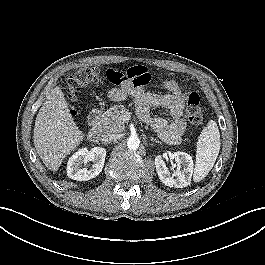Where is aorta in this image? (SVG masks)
Segmentation results:
<instances>
[{"label":"aorta","mask_w":265,"mask_h":265,"mask_svg":"<svg viewBox=\"0 0 265 265\" xmlns=\"http://www.w3.org/2000/svg\"><path fill=\"white\" fill-rule=\"evenodd\" d=\"M140 146V139L137 136H130L127 139V147L129 150H137Z\"/></svg>","instance_id":"obj_1"}]
</instances>
